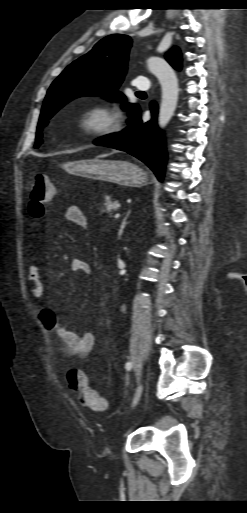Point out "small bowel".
Segmentation results:
<instances>
[{"label": "small bowel", "mask_w": 247, "mask_h": 513, "mask_svg": "<svg viewBox=\"0 0 247 513\" xmlns=\"http://www.w3.org/2000/svg\"><path fill=\"white\" fill-rule=\"evenodd\" d=\"M65 219L79 226L82 230L87 227V220L77 206H70L65 212ZM72 271H81L89 275L91 273L90 265L82 260H74L71 264ZM28 279L30 281L29 291L31 295L38 299H45L46 297V284L44 272L38 265H31L28 268ZM38 318L43 326L56 334L58 337L61 349L66 357L71 359H85L92 352L95 346V335L91 331L78 333L62 323L58 316L56 309L50 306H44L38 311Z\"/></svg>", "instance_id": "1"}]
</instances>
